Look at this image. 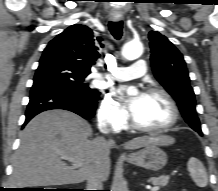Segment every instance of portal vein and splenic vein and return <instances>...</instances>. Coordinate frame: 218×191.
I'll return each instance as SVG.
<instances>
[{
  "label": "portal vein and splenic vein",
  "mask_w": 218,
  "mask_h": 191,
  "mask_svg": "<svg viewBox=\"0 0 218 191\" xmlns=\"http://www.w3.org/2000/svg\"><path fill=\"white\" fill-rule=\"evenodd\" d=\"M61 158L69 160L70 162H72L74 167H80L82 165L81 162L77 161L75 158L69 156L68 154L61 153ZM150 190L151 191H158L159 190V186H154Z\"/></svg>",
  "instance_id": "1"
}]
</instances>
